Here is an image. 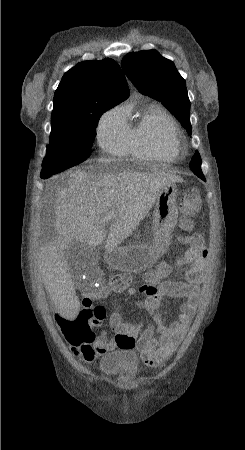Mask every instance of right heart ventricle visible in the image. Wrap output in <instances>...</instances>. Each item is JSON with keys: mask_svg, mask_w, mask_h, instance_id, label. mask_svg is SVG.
<instances>
[{"mask_svg": "<svg viewBox=\"0 0 245 450\" xmlns=\"http://www.w3.org/2000/svg\"><path fill=\"white\" fill-rule=\"evenodd\" d=\"M124 114L127 122V153L147 160L171 161L176 158L179 152L171 148L162 131L164 121L169 118L162 107L149 105L132 123L128 122L131 110L125 109Z\"/></svg>", "mask_w": 245, "mask_h": 450, "instance_id": "e07e8e85", "label": "right heart ventricle"}]
</instances>
